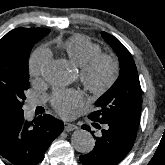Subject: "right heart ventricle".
Masks as SVG:
<instances>
[{"instance_id":"right-heart-ventricle-1","label":"right heart ventricle","mask_w":165,"mask_h":165,"mask_svg":"<svg viewBox=\"0 0 165 165\" xmlns=\"http://www.w3.org/2000/svg\"><path fill=\"white\" fill-rule=\"evenodd\" d=\"M71 64L82 67L92 57L101 53V47L84 35L76 34L58 42Z\"/></svg>"}]
</instances>
